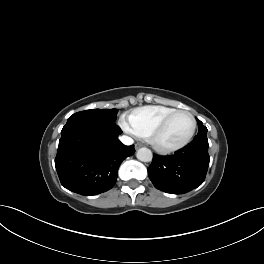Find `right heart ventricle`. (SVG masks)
<instances>
[{"label":"right heart ventricle","mask_w":264,"mask_h":264,"mask_svg":"<svg viewBox=\"0 0 264 264\" xmlns=\"http://www.w3.org/2000/svg\"><path fill=\"white\" fill-rule=\"evenodd\" d=\"M174 107L148 105L133 110L128 116L132 132L141 137H149L151 131L172 111Z\"/></svg>","instance_id":"right-heart-ventricle-1"}]
</instances>
